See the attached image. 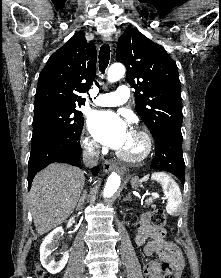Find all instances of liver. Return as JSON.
I'll list each match as a JSON object with an SVG mask.
<instances>
[{
	"label": "liver",
	"mask_w": 221,
	"mask_h": 278,
	"mask_svg": "<svg viewBox=\"0 0 221 278\" xmlns=\"http://www.w3.org/2000/svg\"><path fill=\"white\" fill-rule=\"evenodd\" d=\"M84 183L83 171L64 163L50 164L35 176L29 204L39 235L56 228L73 213Z\"/></svg>",
	"instance_id": "obj_1"
}]
</instances>
